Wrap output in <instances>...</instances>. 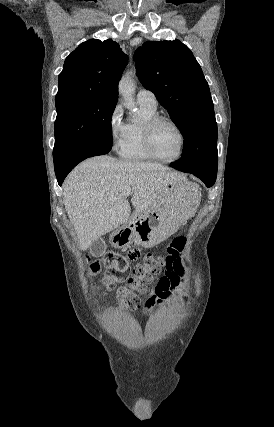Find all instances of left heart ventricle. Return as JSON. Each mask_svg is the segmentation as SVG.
Returning <instances> with one entry per match:
<instances>
[{
	"instance_id": "left-heart-ventricle-1",
	"label": "left heart ventricle",
	"mask_w": 274,
	"mask_h": 427,
	"mask_svg": "<svg viewBox=\"0 0 274 427\" xmlns=\"http://www.w3.org/2000/svg\"><path fill=\"white\" fill-rule=\"evenodd\" d=\"M153 146L156 152L165 159H174L180 152V137L169 124H159L153 134Z\"/></svg>"
}]
</instances>
